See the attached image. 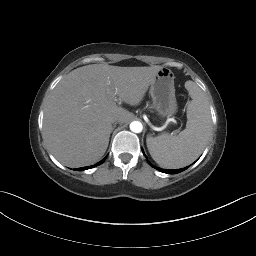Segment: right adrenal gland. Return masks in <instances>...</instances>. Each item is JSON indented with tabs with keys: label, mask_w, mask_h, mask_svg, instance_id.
<instances>
[{
	"label": "right adrenal gland",
	"mask_w": 256,
	"mask_h": 256,
	"mask_svg": "<svg viewBox=\"0 0 256 256\" xmlns=\"http://www.w3.org/2000/svg\"><path fill=\"white\" fill-rule=\"evenodd\" d=\"M116 127V124H114V126H113V128H112V130H114V128Z\"/></svg>",
	"instance_id": "right-adrenal-gland-1"
}]
</instances>
